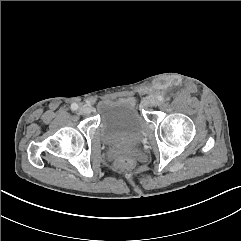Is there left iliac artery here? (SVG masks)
Here are the masks:
<instances>
[{
  "mask_svg": "<svg viewBox=\"0 0 241 241\" xmlns=\"http://www.w3.org/2000/svg\"><path fill=\"white\" fill-rule=\"evenodd\" d=\"M157 98L159 101H163V99H164L163 96H161V95H159Z\"/></svg>",
  "mask_w": 241,
  "mask_h": 241,
  "instance_id": "1",
  "label": "left iliac artery"
}]
</instances>
